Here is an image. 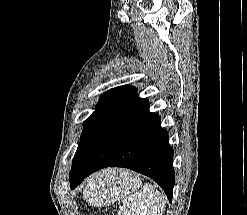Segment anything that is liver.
Returning a JSON list of instances; mask_svg holds the SVG:
<instances>
[{
	"mask_svg": "<svg viewBox=\"0 0 247 215\" xmlns=\"http://www.w3.org/2000/svg\"><path fill=\"white\" fill-rule=\"evenodd\" d=\"M108 173H115L116 170H107ZM121 174H125L126 172L125 171H120Z\"/></svg>",
	"mask_w": 247,
	"mask_h": 215,
	"instance_id": "obj_1",
	"label": "liver"
}]
</instances>
